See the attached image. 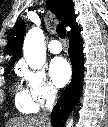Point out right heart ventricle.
I'll return each mask as SVG.
<instances>
[{"label":"right heart ventricle","instance_id":"right-heart-ventricle-1","mask_svg":"<svg viewBox=\"0 0 108 127\" xmlns=\"http://www.w3.org/2000/svg\"><path fill=\"white\" fill-rule=\"evenodd\" d=\"M15 105L21 113L25 114H33L38 110V106L30 96L29 92L20 85L16 88Z\"/></svg>","mask_w":108,"mask_h":127}]
</instances>
